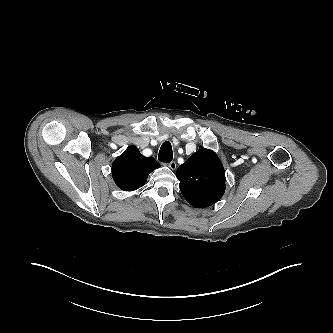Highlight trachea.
<instances>
[{
  "label": "trachea",
  "mask_w": 333,
  "mask_h": 333,
  "mask_svg": "<svg viewBox=\"0 0 333 333\" xmlns=\"http://www.w3.org/2000/svg\"><path fill=\"white\" fill-rule=\"evenodd\" d=\"M172 158H173V152H172L171 143L166 141L162 144L159 150L158 159L161 162L169 163L172 161Z\"/></svg>",
  "instance_id": "3493384b"
}]
</instances>
